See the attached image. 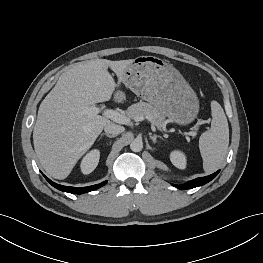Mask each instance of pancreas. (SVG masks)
Masks as SVG:
<instances>
[{
    "instance_id": "cf45deb5",
    "label": "pancreas",
    "mask_w": 263,
    "mask_h": 263,
    "mask_svg": "<svg viewBox=\"0 0 263 263\" xmlns=\"http://www.w3.org/2000/svg\"><path fill=\"white\" fill-rule=\"evenodd\" d=\"M129 118L138 119L146 117L151 120L158 128L165 127V117L151 104L140 101L131 105L127 110Z\"/></svg>"
}]
</instances>
